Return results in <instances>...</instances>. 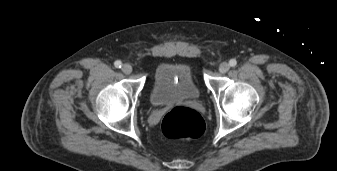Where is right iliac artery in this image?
<instances>
[{"mask_svg":"<svg viewBox=\"0 0 337 171\" xmlns=\"http://www.w3.org/2000/svg\"><path fill=\"white\" fill-rule=\"evenodd\" d=\"M114 65H115L116 68H121L122 63H121V61L118 60L114 63Z\"/></svg>","mask_w":337,"mask_h":171,"instance_id":"82829eb1","label":"right iliac artery"}]
</instances>
